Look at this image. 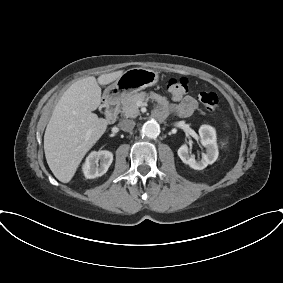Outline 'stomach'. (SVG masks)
Returning <instances> with one entry per match:
<instances>
[{"label": "stomach", "mask_w": 283, "mask_h": 283, "mask_svg": "<svg viewBox=\"0 0 283 283\" xmlns=\"http://www.w3.org/2000/svg\"><path fill=\"white\" fill-rule=\"evenodd\" d=\"M158 72L146 68H132L125 71L111 86L108 94L123 98L127 94H133L158 82Z\"/></svg>", "instance_id": "0dacf381"}]
</instances>
